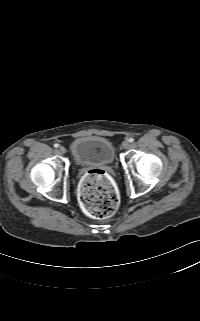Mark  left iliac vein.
<instances>
[{
    "label": "left iliac vein",
    "instance_id": "obj_1",
    "mask_svg": "<svg viewBox=\"0 0 200 321\" xmlns=\"http://www.w3.org/2000/svg\"><path fill=\"white\" fill-rule=\"evenodd\" d=\"M122 146H123L124 149H128L130 147L129 141H124Z\"/></svg>",
    "mask_w": 200,
    "mask_h": 321
}]
</instances>
